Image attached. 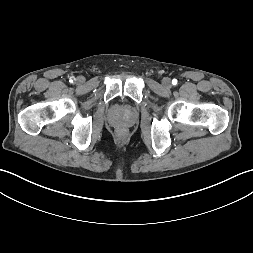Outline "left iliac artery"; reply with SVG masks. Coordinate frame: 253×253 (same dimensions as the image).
Listing matches in <instances>:
<instances>
[{"label": "left iliac artery", "mask_w": 253, "mask_h": 253, "mask_svg": "<svg viewBox=\"0 0 253 253\" xmlns=\"http://www.w3.org/2000/svg\"><path fill=\"white\" fill-rule=\"evenodd\" d=\"M172 84H173V85H176V84H177V80H176V79H173V80H172Z\"/></svg>", "instance_id": "left-iliac-artery-1"}]
</instances>
